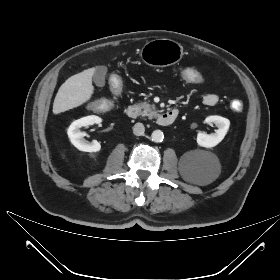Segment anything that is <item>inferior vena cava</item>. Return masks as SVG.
Returning a JSON list of instances; mask_svg holds the SVG:
<instances>
[{
	"label": "inferior vena cava",
	"mask_w": 280,
	"mask_h": 280,
	"mask_svg": "<svg viewBox=\"0 0 280 280\" xmlns=\"http://www.w3.org/2000/svg\"><path fill=\"white\" fill-rule=\"evenodd\" d=\"M144 131H145V127L142 123H136L133 126V133L136 136H142L144 134Z\"/></svg>",
	"instance_id": "1"
}]
</instances>
